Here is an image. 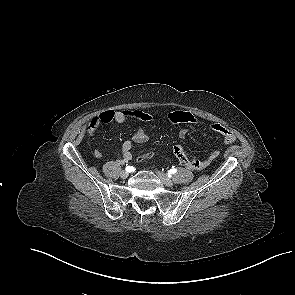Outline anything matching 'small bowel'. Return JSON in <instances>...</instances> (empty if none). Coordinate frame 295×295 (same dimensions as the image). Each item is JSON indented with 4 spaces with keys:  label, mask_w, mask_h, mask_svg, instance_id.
I'll use <instances>...</instances> for the list:
<instances>
[{
    "label": "small bowel",
    "mask_w": 295,
    "mask_h": 295,
    "mask_svg": "<svg viewBox=\"0 0 295 295\" xmlns=\"http://www.w3.org/2000/svg\"><path fill=\"white\" fill-rule=\"evenodd\" d=\"M130 118H135L140 120L143 125H141L133 134L131 140H126L123 142L120 150V156L123 163H128L132 159V143H145L149 139V124L154 121V116L150 113L141 110H107L99 114L93 119L94 130H97L101 126L110 123H124ZM167 119L173 124H184L179 131V137L185 138L189 132L188 125L197 124L196 118L187 111L175 110L167 114ZM209 129L220 134L226 144H232L236 137L234 133L218 123H211L208 125ZM173 153L178 159L179 163L191 170H203L208 167L211 162L216 159L219 155V151H213L209 153L206 157L202 159H191L187 156L185 150L181 146H175L173 148ZM97 158L102 157V153L99 150L94 152Z\"/></svg>",
    "instance_id": "small-bowel-1"
}]
</instances>
